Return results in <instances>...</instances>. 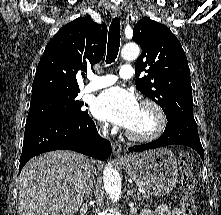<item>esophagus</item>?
<instances>
[{"label":"esophagus","mask_w":221,"mask_h":215,"mask_svg":"<svg viewBox=\"0 0 221 215\" xmlns=\"http://www.w3.org/2000/svg\"><path fill=\"white\" fill-rule=\"evenodd\" d=\"M120 14H121V10H120L119 7H115L112 10V16L113 17H116V16H118ZM112 151H113V154L115 156H118V157L122 156V146H121V144L118 141H114L112 143Z\"/></svg>","instance_id":"obj_1"}]
</instances>
